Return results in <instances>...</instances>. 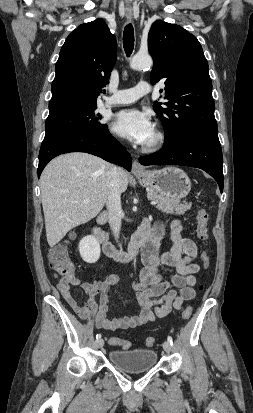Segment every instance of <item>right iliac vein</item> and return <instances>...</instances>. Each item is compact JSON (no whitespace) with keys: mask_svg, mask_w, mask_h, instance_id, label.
Wrapping results in <instances>:
<instances>
[{"mask_svg":"<svg viewBox=\"0 0 253 413\" xmlns=\"http://www.w3.org/2000/svg\"><path fill=\"white\" fill-rule=\"evenodd\" d=\"M95 345L97 348H102L104 345V340L102 338L97 339V341L95 342Z\"/></svg>","mask_w":253,"mask_h":413,"instance_id":"right-iliac-vein-1","label":"right iliac vein"}]
</instances>
